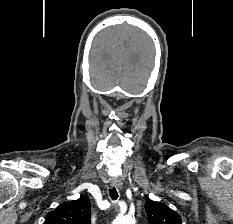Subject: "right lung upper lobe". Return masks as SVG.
Segmentation results:
<instances>
[{
  "instance_id": "1",
  "label": "right lung upper lobe",
  "mask_w": 233,
  "mask_h": 224,
  "mask_svg": "<svg viewBox=\"0 0 233 224\" xmlns=\"http://www.w3.org/2000/svg\"><path fill=\"white\" fill-rule=\"evenodd\" d=\"M44 224H91L89 199L83 196L62 203L56 210L47 214Z\"/></svg>"
}]
</instances>
